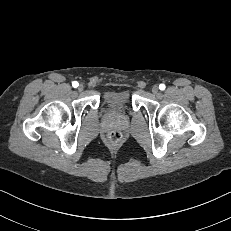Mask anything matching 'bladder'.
Returning <instances> with one entry per match:
<instances>
[{
  "instance_id": "bladder-1",
  "label": "bladder",
  "mask_w": 231,
  "mask_h": 231,
  "mask_svg": "<svg viewBox=\"0 0 231 231\" xmlns=\"http://www.w3.org/2000/svg\"><path fill=\"white\" fill-rule=\"evenodd\" d=\"M130 92L127 90L108 91L103 95V101L110 107L124 106L130 101Z\"/></svg>"
}]
</instances>
